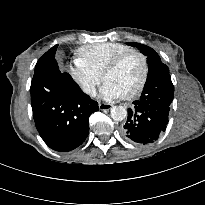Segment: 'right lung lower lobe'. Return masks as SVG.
Segmentation results:
<instances>
[{"label":"right lung lower lobe","instance_id":"98d812e1","mask_svg":"<svg viewBox=\"0 0 205 205\" xmlns=\"http://www.w3.org/2000/svg\"><path fill=\"white\" fill-rule=\"evenodd\" d=\"M48 50L37 62L31 82V105L36 128L53 150L80 146L89 133V116L98 103L85 94L68 73H61L55 53Z\"/></svg>","mask_w":205,"mask_h":205}]
</instances>
